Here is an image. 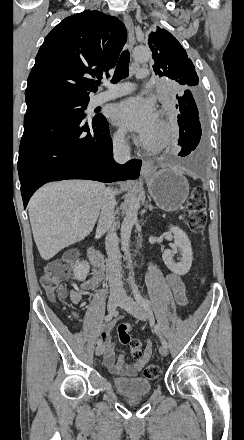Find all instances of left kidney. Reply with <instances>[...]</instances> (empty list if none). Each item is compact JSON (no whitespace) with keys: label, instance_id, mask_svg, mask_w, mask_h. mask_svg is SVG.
Returning a JSON list of instances; mask_svg holds the SVG:
<instances>
[{"label":"left kidney","instance_id":"5707ae66","mask_svg":"<svg viewBox=\"0 0 244 440\" xmlns=\"http://www.w3.org/2000/svg\"><path fill=\"white\" fill-rule=\"evenodd\" d=\"M169 232L174 234V244L180 250L181 258H178L179 262H175L173 250H164L162 254L163 262L173 274L185 276V274H188L193 260L191 242L187 234L180 230L178 226H169Z\"/></svg>","mask_w":244,"mask_h":440}]
</instances>
